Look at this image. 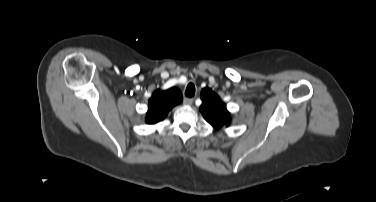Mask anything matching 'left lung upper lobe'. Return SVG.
I'll list each match as a JSON object with an SVG mask.
<instances>
[{
	"label": "left lung upper lobe",
	"mask_w": 376,
	"mask_h": 202,
	"mask_svg": "<svg viewBox=\"0 0 376 202\" xmlns=\"http://www.w3.org/2000/svg\"><path fill=\"white\" fill-rule=\"evenodd\" d=\"M201 99L200 112L210 125L217 129L230 125V113L217 94L206 87L201 91Z\"/></svg>",
	"instance_id": "left-lung-upper-lobe-1"
}]
</instances>
